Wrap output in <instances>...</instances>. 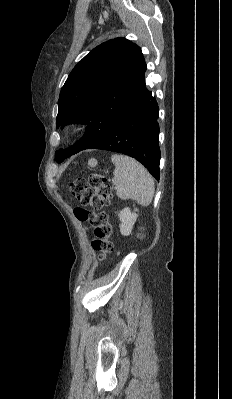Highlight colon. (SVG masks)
<instances>
[{"label":"colon","mask_w":232,"mask_h":399,"mask_svg":"<svg viewBox=\"0 0 232 399\" xmlns=\"http://www.w3.org/2000/svg\"><path fill=\"white\" fill-rule=\"evenodd\" d=\"M86 168H97V163H93V160L83 163L81 175H78V180H74L71 186V194L77 196L82 206L76 208V218H80V222H88L89 230H92L93 235L90 243H94V254H97V260L113 262L111 253H114V240H111V230L112 235L116 236L117 228L109 225L107 212H103L107 211V206H102V203L111 204V178L94 175V173L88 175Z\"/></svg>","instance_id":"colon-1"}]
</instances>
